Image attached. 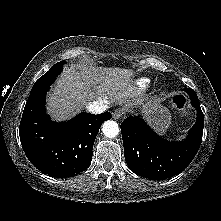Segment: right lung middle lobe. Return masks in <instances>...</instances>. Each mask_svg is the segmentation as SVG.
I'll return each instance as SVG.
<instances>
[{
  "label": "right lung middle lobe",
  "mask_w": 221,
  "mask_h": 221,
  "mask_svg": "<svg viewBox=\"0 0 221 221\" xmlns=\"http://www.w3.org/2000/svg\"><path fill=\"white\" fill-rule=\"evenodd\" d=\"M65 62L61 61L56 63L54 66L50 68L48 72H46L44 75H42L34 84L32 87V90L30 92L34 93L39 90L49 88V86L54 82L58 74L63 70V64Z\"/></svg>",
  "instance_id": "right-lung-middle-lobe-1"
}]
</instances>
